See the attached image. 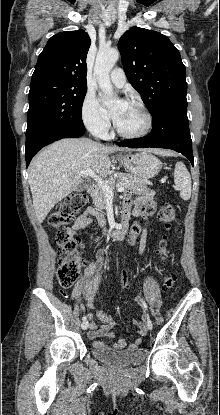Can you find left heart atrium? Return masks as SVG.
<instances>
[{"mask_svg":"<svg viewBox=\"0 0 220 415\" xmlns=\"http://www.w3.org/2000/svg\"><path fill=\"white\" fill-rule=\"evenodd\" d=\"M124 105H125V102H122L121 104H120V106H118V107H116V108H113V109H111L109 112H108V116L111 118V119H113V121L116 123L119 119H120V117H121V115H122V113H123V110H124Z\"/></svg>","mask_w":220,"mask_h":415,"instance_id":"1","label":"left heart atrium"}]
</instances>
